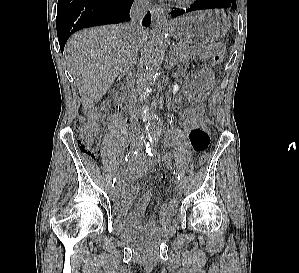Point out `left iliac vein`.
Wrapping results in <instances>:
<instances>
[{
  "instance_id": "1",
  "label": "left iliac vein",
  "mask_w": 299,
  "mask_h": 273,
  "mask_svg": "<svg viewBox=\"0 0 299 273\" xmlns=\"http://www.w3.org/2000/svg\"><path fill=\"white\" fill-rule=\"evenodd\" d=\"M143 147H144L143 144H142V143H139L137 149H138V150H142ZM176 191H177L178 193H182V192H183V186L181 185V183H178V184H177V186H176Z\"/></svg>"
}]
</instances>
